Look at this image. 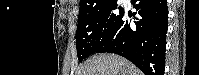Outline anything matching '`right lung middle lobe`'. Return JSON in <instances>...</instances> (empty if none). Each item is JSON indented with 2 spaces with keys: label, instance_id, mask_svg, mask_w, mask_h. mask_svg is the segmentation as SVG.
Instances as JSON below:
<instances>
[{
  "label": "right lung middle lobe",
  "instance_id": "1",
  "mask_svg": "<svg viewBox=\"0 0 199 75\" xmlns=\"http://www.w3.org/2000/svg\"><path fill=\"white\" fill-rule=\"evenodd\" d=\"M124 9L116 0L105 2L79 14L76 32L78 60L95 53L118 25Z\"/></svg>",
  "mask_w": 199,
  "mask_h": 75
}]
</instances>
